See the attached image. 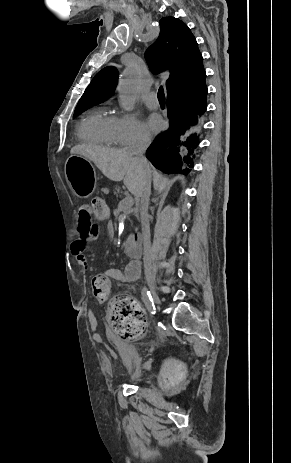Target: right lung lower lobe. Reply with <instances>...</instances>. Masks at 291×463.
Masks as SVG:
<instances>
[{"label": "right lung lower lobe", "mask_w": 291, "mask_h": 463, "mask_svg": "<svg viewBox=\"0 0 291 463\" xmlns=\"http://www.w3.org/2000/svg\"><path fill=\"white\" fill-rule=\"evenodd\" d=\"M206 73L198 86L190 91H175L167 95L169 129L161 133L146 151L148 160L159 170L189 173L193 168L194 151L200 142V132L207 110ZM183 166H186L182 169Z\"/></svg>", "instance_id": "obj_1"}]
</instances>
